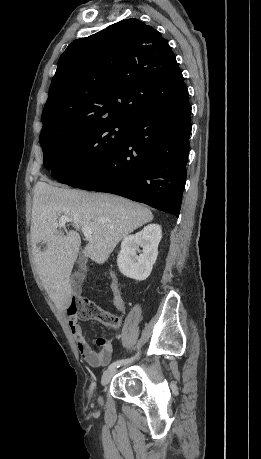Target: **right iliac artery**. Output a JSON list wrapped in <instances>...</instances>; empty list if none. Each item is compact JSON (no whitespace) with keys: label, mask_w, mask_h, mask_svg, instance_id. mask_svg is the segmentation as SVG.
Returning a JSON list of instances; mask_svg holds the SVG:
<instances>
[{"label":"right iliac artery","mask_w":261,"mask_h":459,"mask_svg":"<svg viewBox=\"0 0 261 459\" xmlns=\"http://www.w3.org/2000/svg\"><path fill=\"white\" fill-rule=\"evenodd\" d=\"M135 358H136V356H135V357H132V358H130V359H123V360L115 361V362H113L112 364H110V366L108 367V369H112V368H115V367H119V366H121L122 364L129 363V362L133 361Z\"/></svg>","instance_id":"1"}]
</instances>
